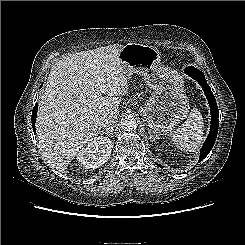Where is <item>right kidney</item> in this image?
Listing matches in <instances>:
<instances>
[{
    "label": "right kidney",
    "instance_id": "obj_1",
    "mask_svg": "<svg viewBox=\"0 0 245 245\" xmlns=\"http://www.w3.org/2000/svg\"><path fill=\"white\" fill-rule=\"evenodd\" d=\"M112 147L110 138L94 137L78 152L77 160L85 169H96L108 161Z\"/></svg>",
    "mask_w": 245,
    "mask_h": 245
}]
</instances>
